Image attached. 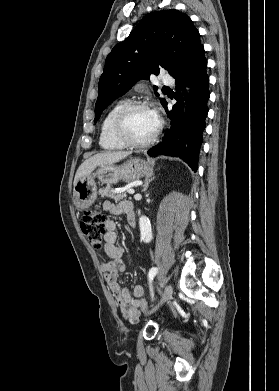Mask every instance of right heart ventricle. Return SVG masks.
<instances>
[{
    "instance_id": "e07e8e85",
    "label": "right heart ventricle",
    "mask_w": 279,
    "mask_h": 391,
    "mask_svg": "<svg viewBox=\"0 0 279 391\" xmlns=\"http://www.w3.org/2000/svg\"><path fill=\"white\" fill-rule=\"evenodd\" d=\"M124 100L116 102L104 115L101 126L99 144L105 150H121L126 148L122 142H120L114 135L113 122L119 109L125 104Z\"/></svg>"
}]
</instances>
